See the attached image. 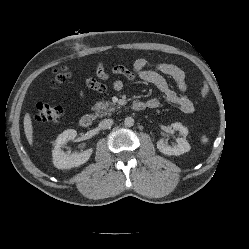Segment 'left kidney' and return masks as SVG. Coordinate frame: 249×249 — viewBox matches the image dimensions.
Returning a JSON list of instances; mask_svg holds the SVG:
<instances>
[{
  "label": "left kidney",
  "instance_id": "left-kidney-1",
  "mask_svg": "<svg viewBox=\"0 0 249 249\" xmlns=\"http://www.w3.org/2000/svg\"><path fill=\"white\" fill-rule=\"evenodd\" d=\"M173 129L178 130L180 134L183 136L181 138H178L176 140V145L175 146H170L167 145L164 139H160L157 142V148L160 152H162L165 155H181L183 153L188 152L191 149L190 144L186 140V136L188 134V129L184 127L181 123H173L171 125Z\"/></svg>",
  "mask_w": 249,
  "mask_h": 249
}]
</instances>
